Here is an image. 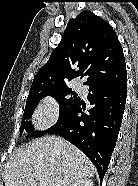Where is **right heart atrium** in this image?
Here are the masks:
<instances>
[{
  "mask_svg": "<svg viewBox=\"0 0 138 186\" xmlns=\"http://www.w3.org/2000/svg\"><path fill=\"white\" fill-rule=\"evenodd\" d=\"M59 116V105L52 96L45 97L37 106L35 119L40 128H47L56 122Z\"/></svg>",
  "mask_w": 138,
  "mask_h": 186,
  "instance_id": "right-heart-atrium-1",
  "label": "right heart atrium"
}]
</instances>
